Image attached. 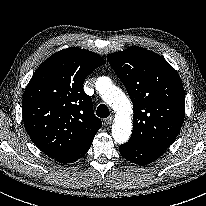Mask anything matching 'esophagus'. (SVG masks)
Instances as JSON below:
<instances>
[{
	"mask_svg": "<svg viewBox=\"0 0 206 206\" xmlns=\"http://www.w3.org/2000/svg\"><path fill=\"white\" fill-rule=\"evenodd\" d=\"M113 121H114V118L112 116L105 119V123L107 125H111Z\"/></svg>",
	"mask_w": 206,
	"mask_h": 206,
	"instance_id": "1",
	"label": "esophagus"
}]
</instances>
